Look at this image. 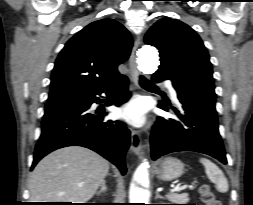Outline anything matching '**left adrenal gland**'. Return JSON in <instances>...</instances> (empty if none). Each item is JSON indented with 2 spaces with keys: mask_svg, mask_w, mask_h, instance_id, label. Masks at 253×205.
<instances>
[{
  "mask_svg": "<svg viewBox=\"0 0 253 205\" xmlns=\"http://www.w3.org/2000/svg\"><path fill=\"white\" fill-rule=\"evenodd\" d=\"M155 194H156L155 199H157V198L163 199V197L159 194L158 191H156Z\"/></svg>",
  "mask_w": 253,
  "mask_h": 205,
  "instance_id": "a2214340",
  "label": "left adrenal gland"
}]
</instances>
